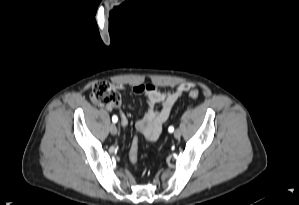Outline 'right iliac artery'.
I'll list each match as a JSON object with an SVG mask.
<instances>
[{
    "label": "right iliac artery",
    "instance_id": "1",
    "mask_svg": "<svg viewBox=\"0 0 299 205\" xmlns=\"http://www.w3.org/2000/svg\"><path fill=\"white\" fill-rule=\"evenodd\" d=\"M112 121H113L114 123H116V122L118 121L117 116L114 115V116L112 117Z\"/></svg>",
    "mask_w": 299,
    "mask_h": 205
}]
</instances>
